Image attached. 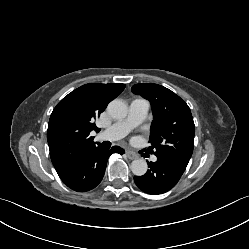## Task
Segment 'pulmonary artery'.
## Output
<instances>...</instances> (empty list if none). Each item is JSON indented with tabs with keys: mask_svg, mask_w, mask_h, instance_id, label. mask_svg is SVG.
I'll use <instances>...</instances> for the list:
<instances>
[{
	"mask_svg": "<svg viewBox=\"0 0 249 249\" xmlns=\"http://www.w3.org/2000/svg\"><path fill=\"white\" fill-rule=\"evenodd\" d=\"M149 108L150 104L147 100L134 99L129 105L126 118L101 131L98 138L101 141H115L125 137L134 127L144 121ZM151 160L155 162L157 157L152 156Z\"/></svg>",
	"mask_w": 249,
	"mask_h": 249,
	"instance_id": "obj_1",
	"label": "pulmonary artery"
}]
</instances>
